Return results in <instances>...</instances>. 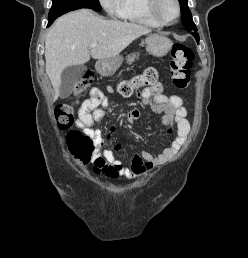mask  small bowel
Wrapping results in <instances>:
<instances>
[{
  "mask_svg": "<svg viewBox=\"0 0 248 258\" xmlns=\"http://www.w3.org/2000/svg\"><path fill=\"white\" fill-rule=\"evenodd\" d=\"M155 93L154 102L151 97ZM142 104L151 105L155 113H161V121L166 126L168 134L173 132V126L176 128V135L171 145L165 148L158 155L154 156L148 151H141L132 157L130 166H123L122 162L112 151L101 152L104 140L99 129L92 128L94 122H99L105 117V108L109 106L108 97L98 88H92L89 92V98L84 100L78 109V118L75 126L86 132L94 141L97 150L94 155V164L99 169H114L117 171V177L122 176L128 180H133L144 176L148 171L155 167L163 165L172 160L180 148L184 145L190 131V125L186 119V109L183 107V101L180 96L173 95L166 97L161 94V88L155 87L153 90L145 88L139 93ZM140 116L139 110H132L128 114L129 121H134ZM115 126H112L113 132ZM116 146V150H120ZM111 177V176H109Z\"/></svg>",
  "mask_w": 248,
  "mask_h": 258,
  "instance_id": "small-bowel-1",
  "label": "small bowel"
}]
</instances>
